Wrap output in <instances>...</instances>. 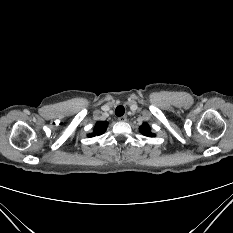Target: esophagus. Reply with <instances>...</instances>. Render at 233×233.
<instances>
[{
	"label": "esophagus",
	"mask_w": 233,
	"mask_h": 233,
	"mask_svg": "<svg viewBox=\"0 0 233 233\" xmlns=\"http://www.w3.org/2000/svg\"><path fill=\"white\" fill-rule=\"evenodd\" d=\"M118 120H119L120 122H125V121H127V116H126V115L120 116V117L118 118Z\"/></svg>",
	"instance_id": "34e87169"
}]
</instances>
